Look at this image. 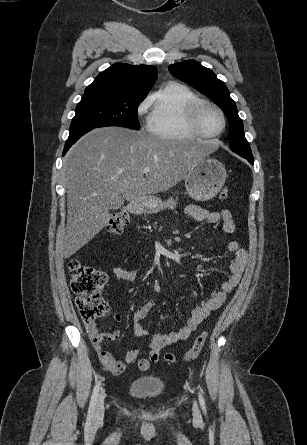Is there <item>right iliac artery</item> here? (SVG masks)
Segmentation results:
<instances>
[{
    "mask_svg": "<svg viewBox=\"0 0 307 445\" xmlns=\"http://www.w3.org/2000/svg\"><path fill=\"white\" fill-rule=\"evenodd\" d=\"M100 389V382H97L94 386L93 393L91 396V401L88 409V416L87 418L91 420L93 418L94 412H95V406L97 403V397Z\"/></svg>",
    "mask_w": 307,
    "mask_h": 445,
    "instance_id": "obj_1",
    "label": "right iliac artery"
}]
</instances>
